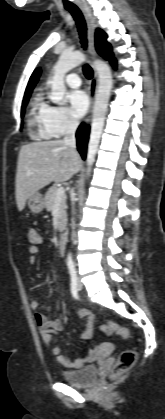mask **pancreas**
<instances>
[{
	"mask_svg": "<svg viewBox=\"0 0 165 419\" xmlns=\"http://www.w3.org/2000/svg\"><path fill=\"white\" fill-rule=\"evenodd\" d=\"M58 187L57 186H52L50 187L46 194H45V198H44V203H45V207L47 209V211L52 212L55 208L56 205V191H57ZM66 199L67 197L64 195L62 196V198L59 200V216H58V230L59 231H63L65 229L66 223H67V213H66V209H67V205H66Z\"/></svg>",
	"mask_w": 165,
	"mask_h": 419,
	"instance_id": "1",
	"label": "pancreas"
}]
</instances>
